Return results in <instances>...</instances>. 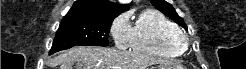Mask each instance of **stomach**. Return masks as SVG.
<instances>
[{"mask_svg":"<svg viewBox=\"0 0 246 69\" xmlns=\"http://www.w3.org/2000/svg\"><path fill=\"white\" fill-rule=\"evenodd\" d=\"M151 69H184L182 66L173 65L170 63L159 64L157 66L151 67Z\"/></svg>","mask_w":246,"mask_h":69,"instance_id":"obj_1","label":"stomach"}]
</instances>
